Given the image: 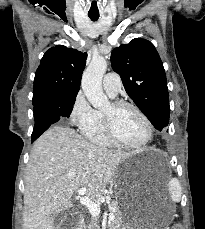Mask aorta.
<instances>
[{
    "instance_id": "762f6f07",
    "label": "aorta",
    "mask_w": 205,
    "mask_h": 229,
    "mask_svg": "<svg viewBox=\"0 0 205 229\" xmlns=\"http://www.w3.org/2000/svg\"><path fill=\"white\" fill-rule=\"evenodd\" d=\"M107 69V61L102 56H94L83 73L81 86L83 92L95 108L105 107L109 101L102 89V78Z\"/></svg>"
}]
</instances>
